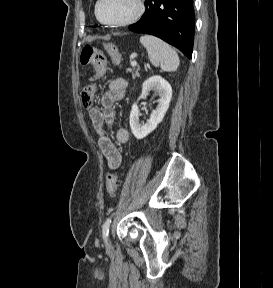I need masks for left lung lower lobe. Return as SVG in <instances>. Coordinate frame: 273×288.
Returning a JSON list of instances; mask_svg holds the SVG:
<instances>
[{"instance_id":"left-lung-lower-lobe-1","label":"left lung lower lobe","mask_w":273,"mask_h":288,"mask_svg":"<svg viewBox=\"0 0 273 288\" xmlns=\"http://www.w3.org/2000/svg\"><path fill=\"white\" fill-rule=\"evenodd\" d=\"M145 5L142 18L129 30L157 36L190 59L194 42L193 0H146Z\"/></svg>"}]
</instances>
